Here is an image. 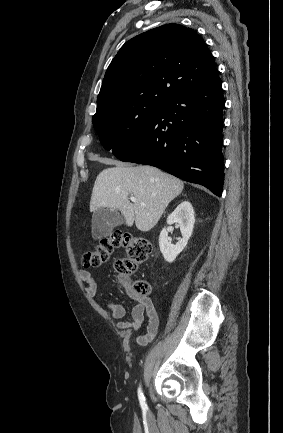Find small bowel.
<instances>
[{
  "instance_id": "1",
  "label": "small bowel",
  "mask_w": 283,
  "mask_h": 433,
  "mask_svg": "<svg viewBox=\"0 0 283 433\" xmlns=\"http://www.w3.org/2000/svg\"><path fill=\"white\" fill-rule=\"evenodd\" d=\"M79 276L81 281L86 284L85 291L87 295L94 297L97 292V284L93 275L88 270H80ZM123 283L126 294L135 303L131 310V321H121L126 315V309L123 305L109 302L107 306L111 311L112 317L118 320L117 327L120 330L137 331L146 317L148 320L146 334L139 336L137 339L139 344L146 345L158 334L159 315L150 297L136 294L130 287L129 279H124Z\"/></svg>"
}]
</instances>
